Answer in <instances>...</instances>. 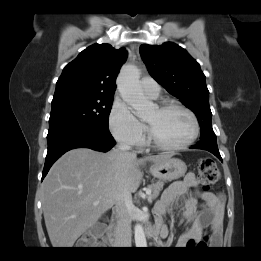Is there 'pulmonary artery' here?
I'll use <instances>...</instances> for the list:
<instances>
[{"label": "pulmonary artery", "instance_id": "obj_1", "mask_svg": "<svg viewBox=\"0 0 261 261\" xmlns=\"http://www.w3.org/2000/svg\"><path fill=\"white\" fill-rule=\"evenodd\" d=\"M142 90L152 98H157L160 94L159 84L151 77H143L140 80Z\"/></svg>", "mask_w": 261, "mask_h": 261}]
</instances>
